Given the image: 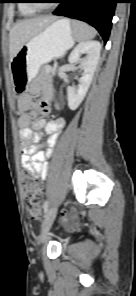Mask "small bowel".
<instances>
[{
	"instance_id": "c3829d8e",
	"label": "small bowel",
	"mask_w": 136,
	"mask_h": 296,
	"mask_svg": "<svg viewBox=\"0 0 136 296\" xmlns=\"http://www.w3.org/2000/svg\"><path fill=\"white\" fill-rule=\"evenodd\" d=\"M18 108L21 112L18 125L22 140V166L29 173H37L41 178H45L48 171V159L64 128L65 121L63 118H56L49 121L41 119L33 122L39 115L47 114L51 110L48 96L41 102L33 103L30 96L24 95L18 100ZM30 109L31 112L27 113ZM44 135H48L47 150L42 151L38 149L37 143Z\"/></svg>"
}]
</instances>
